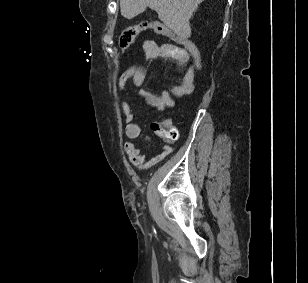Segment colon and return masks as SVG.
Here are the masks:
<instances>
[{"label": "colon", "instance_id": "1", "mask_svg": "<svg viewBox=\"0 0 308 283\" xmlns=\"http://www.w3.org/2000/svg\"><path fill=\"white\" fill-rule=\"evenodd\" d=\"M150 29L157 34L170 37L177 41L182 48L190 55L193 60L194 71L201 70V54L197 45L186 38L177 36L171 29L160 23L142 22L137 25L127 27L118 39L119 47L124 50L128 48L136 39V37L144 30ZM153 131L160 137L173 141L177 138L176 130L171 126L167 120L156 122L152 125Z\"/></svg>", "mask_w": 308, "mask_h": 283}]
</instances>
